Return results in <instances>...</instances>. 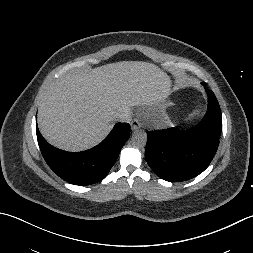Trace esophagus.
Segmentation results:
<instances>
[{"mask_svg": "<svg viewBox=\"0 0 253 253\" xmlns=\"http://www.w3.org/2000/svg\"><path fill=\"white\" fill-rule=\"evenodd\" d=\"M141 126L140 122L138 119H134L132 122H131V129L132 130H137L139 129Z\"/></svg>", "mask_w": 253, "mask_h": 253, "instance_id": "obj_1", "label": "esophagus"}]
</instances>
